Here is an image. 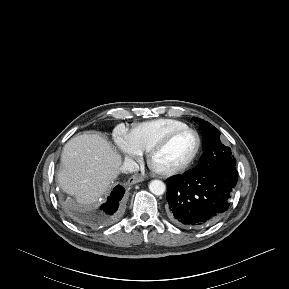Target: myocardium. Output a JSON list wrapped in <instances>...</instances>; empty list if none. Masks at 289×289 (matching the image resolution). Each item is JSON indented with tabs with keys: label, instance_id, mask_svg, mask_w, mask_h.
<instances>
[{
	"label": "myocardium",
	"instance_id": "1",
	"mask_svg": "<svg viewBox=\"0 0 289 289\" xmlns=\"http://www.w3.org/2000/svg\"><path fill=\"white\" fill-rule=\"evenodd\" d=\"M185 132H190L193 133L196 137V147L195 150L193 152V154L190 156V158L185 161L183 164L174 167L172 169H168V170H160L157 169L154 165H153V159L155 157V155L160 152L164 147H166L169 142L176 137L177 135L181 134V133H185ZM202 147V138L199 134V132L193 128L190 127H184V128H179L176 130H173L171 132H169L168 134H166L164 137H162L159 141H157L148 151L147 154V161L148 164L150 166V168L157 174L161 175V176H173L176 174H179L185 170H187L196 160V158L198 157L200 150Z\"/></svg>",
	"mask_w": 289,
	"mask_h": 289
}]
</instances>
